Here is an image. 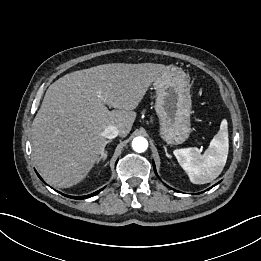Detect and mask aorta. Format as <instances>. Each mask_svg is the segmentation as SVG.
I'll return each instance as SVG.
<instances>
[{
	"label": "aorta",
	"mask_w": 261,
	"mask_h": 261,
	"mask_svg": "<svg viewBox=\"0 0 261 261\" xmlns=\"http://www.w3.org/2000/svg\"><path fill=\"white\" fill-rule=\"evenodd\" d=\"M133 150L142 153L148 148V141L144 137H136L132 141Z\"/></svg>",
	"instance_id": "obj_1"
}]
</instances>
